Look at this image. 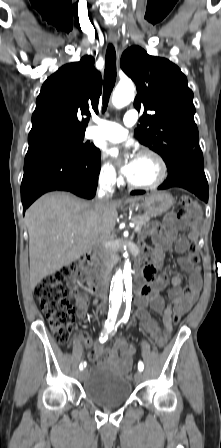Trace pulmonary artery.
Wrapping results in <instances>:
<instances>
[{"label":"pulmonary artery","mask_w":221,"mask_h":448,"mask_svg":"<svg viewBox=\"0 0 221 448\" xmlns=\"http://www.w3.org/2000/svg\"><path fill=\"white\" fill-rule=\"evenodd\" d=\"M138 119L137 112L134 109L129 110L124 116V123L130 127L136 123ZM127 135V130L121 125L105 120H98L97 125L88 131L89 138L105 139L109 141H120Z\"/></svg>","instance_id":"e3ab8cb5"}]
</instances>
